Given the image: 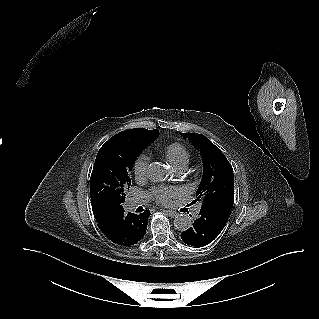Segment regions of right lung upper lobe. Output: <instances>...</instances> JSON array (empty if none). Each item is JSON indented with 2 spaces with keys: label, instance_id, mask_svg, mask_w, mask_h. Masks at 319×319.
I'll return each instance as SVG.
<instances>
[{
  "label": "right lung upper lobe",
  "instance_id": "obj_1",
  "mask_svg": "<svg viewBox=\"0 0 319 319\" xmlns=\"http://www.w3.org/2000/svg\"><path fill=\"white\" fill-rule=\"evenodd\" d=\"M159 134L157 129L154 130H147L143 128H135L131 130H125L117 135L123 137L124 139L128 140L129 142L139 145L141 147L146 148L152 141H154Z\"/></svg>",
  "mask_w": 319,
  "mask_h": 319
}]
</instances>
